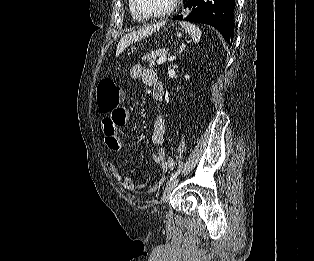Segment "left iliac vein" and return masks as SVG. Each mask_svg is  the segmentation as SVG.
I'll use <instances>...</instances> for the list:
<instances>
[{
  "mask_svg": "<svg viewBox=\"0 0 314 261\" xmlns=\"http://www.w3.org/2000/svg\"><path fill=\"white\" fill-rule=\"evenodd\" d=\"M177 183H178V179L175 178L166 185L163 192V196H162V201L164 203H167L169 201L171 193L173 189L176 187Z\"/></svg>",
  "mask_w": 314,
  "mask_h": 261,
  "instance_id": "1",
  "label": "left iliac vein"
}]
</instances>
